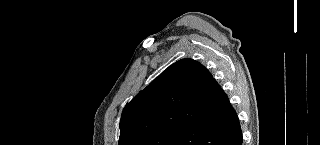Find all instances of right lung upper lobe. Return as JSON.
Wrapping results in <instances>:
<instances>
[{
  "label": "right lung upper lobe",
  "instance_id": "right-lung-upper-lobe-1",
  "mask_svg": "<svg viewBox=\"0 0 320 145\" xmlns=\"http://www.w3.org/2000/svg\"><path fill=\"white\" fill-rule=\"evenodd\" d=\"M223 90L199 62L185 58L169 66L123 109L119 145L146 135L184 129L213 116Z\"/></svg>",
  "mask_w": 320,
  "mask_h": 145
}]
</instances>
